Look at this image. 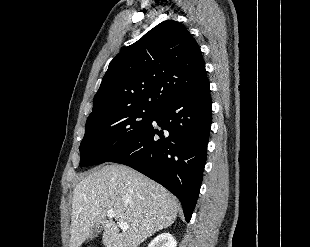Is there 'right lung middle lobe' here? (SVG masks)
I'll return each mask as SVG.
<instances>
[{
  "mask_svg": "<svg viewBox=\"0 0 310 247\" xmlns=\"http://www.w3.org/2000/svg\"><path fill=\"white\" fill-rule=\"evenodd\" d=\"M155 112L153 109L128 108L88 120L80 144V166L107 162L132 145Z\"/></svg>",
  "mask_w": 310,
  "mask_h": 247,
  "instance_id": "obj_1",
  "label": "right lung middle lobe"
}]
</instances>
